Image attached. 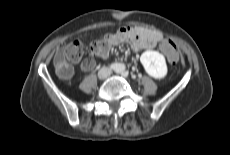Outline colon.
I'll use <instances>...</instances> for the list:
<instances>
[{
    "label": "colon",
    "mask_w": 230,
    "mask_h": 155,
    "mask_svg": "<svg viewBox=\"0 0 230 155\" xmlns=\"http://www.w3.org/2000/svg\"><path fill=\"white\" fill-rule=\"evenodd\" d=\"M157 48L161 50V53L167 56L171 64H177L179 61L178 50L170 39H159L157 41ZM109 49L108 44L103 41L93 42L89 48V52L93 57H101L107 53ZM86 53V47L80 41H73L63 45V47L57 50L53 57V65L56 74L62 79H69L73 74L72 67L69 62L80 61ZM92 64L90 59H84V67H88Z\"/></svg>",
    "instance_id": "obj_1"
}]
</instances>
